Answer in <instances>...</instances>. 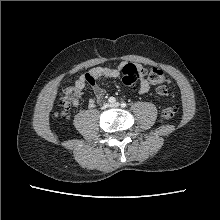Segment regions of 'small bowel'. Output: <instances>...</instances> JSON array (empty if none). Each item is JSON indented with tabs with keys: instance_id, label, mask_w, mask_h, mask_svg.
I'll return each mask as SVG.
<instances>
[{
	"instance_id": "small-bowel-1",
	"label": "small bowel",
	"mask_w": 220,
	"mask_h": 220,
	"mask_svg": "<svg viewBox=\"0 0 220 220\" xmlns=\"http://www.w3.org/2000/svg\"><path fill=\"white\" fill-rule=\"evenodd\" d=\"M121 67L98 66L80 77L76 81V86L83 89L88 84L94 93V97L88 100V107L94 108L105 96V90L98 84L101 78H117ZM150 90V83L142 78L139 84V93L145 94Z\"/></svg>"
}]
</instances>
